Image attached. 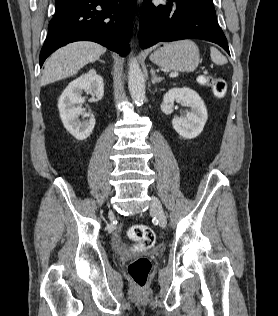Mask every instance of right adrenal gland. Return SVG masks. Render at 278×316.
<instances>
[{
    "instance_id": "right-adrenal-gland-1",
    "label": "right adrenal gland",
    "mask_w": 278,
    "mask_h": 316,
    "mask_svg": "<svg viewBox=\"0 0 278 316\" xmlns=\"http://www.w3.org/2000/svg\"><path fill=\"white\" fill-rule=\"evenodd\" d=\"M99 62H101V63H103V64H105V61L104 60H98Z\"/></svg>"
}]
</instances>
